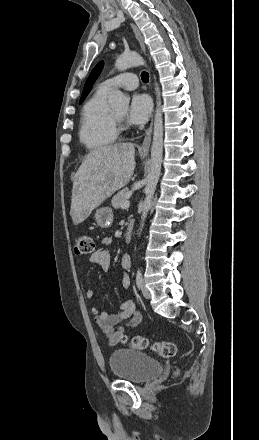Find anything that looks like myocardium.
<instances>
[{"instance_id": "f54148a6", "label": "myocardium", "mask_w": 259, "mask_h": 440, "mask_svg": "<svg viewBox=\"0 0 259 440\" xmlns=\"http://www.w3.org/2000/svg\"><path fill=\"white\" fill-rule=\"evenodd\" d=\"M113 117L117 126V130L118 131H123L126 130L127 127L125 126V124L123 123V118L118 116L116 113H113Z\"/></svg>"}]
</instances>
